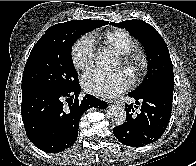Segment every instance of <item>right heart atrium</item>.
<instances>
[{"mask_svg": "<svg viewBox=\"0 0 196 166\" xmlns=\"http://www.w3.org/2000/svg\"><path fill=\"white\" fill-rule=\"evenodd\" d=\"M71 59L76 69L86 70L94 62L95 52L93 40L89 36L79 38L71 48Z\"/></svg>", "mask_w": 196, "mask_h": 166, "instance_id": "right-heart-atrium-1", "label": "right heart atrium"}]
</instances>
